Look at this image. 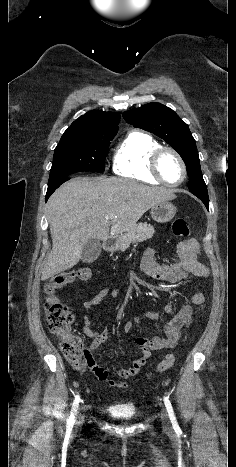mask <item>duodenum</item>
I'll return each mask as SVG.
<instances>
[{
	"mask_svg": "<svg viewBox=\"0 0 236 467\" xmlns=\"http://www.w3.org/2000/svg\"><path fill=\"white\" fill-rule=\"evenodd\" d=\"M102 247L105 251H111L113 248V241L111 238H105L102 241Z\"/></svg>",
	"mask_w": 236,
	"mask_h": 467,
	"instance_id": "duodenum-1",
	"label": "duodenum"
}]
</instances>
